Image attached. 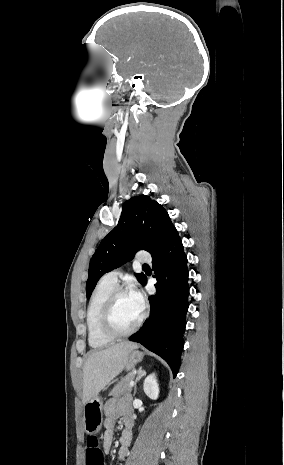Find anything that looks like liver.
I'll return each mask as SVG.
<instances>
[{
	"label": "liver",
	"instance_id": "6515ba94",
	"mask_svg": "<svg viewBox=\"0 0 284 465\" xmlns=\"http://www.w3.org/2000/svg\"><path fill=\"white\" fill-rule=\"evenodd\" d=\"M133 349H138L136 343H118L104 351L89 353L83 365V405L97 397L110 381L122 373L127 357Z\"/></svg>",
	"mask_w": 284,
	"mask_h": 465
}]
</instances>
